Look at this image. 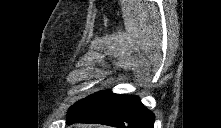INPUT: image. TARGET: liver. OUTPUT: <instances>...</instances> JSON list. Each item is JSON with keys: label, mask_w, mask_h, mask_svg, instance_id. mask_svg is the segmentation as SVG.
<instances>
[{"label": "liver", "mask_w": 221, "mask_h": 128, "mask_svg": "<svg viewBox=\"0 0 221 128\" xmlns=\"http://www.w3.org/2000/svg\"><path fill=\"white\" fill-rule=\"evenodd\" d=\"M90 128H94V127H90ZM95 128H106V127H105V126L100 125V126L95 127Z\"/></svg>", "instance_id": "obj_1"}]
</instances>
